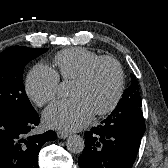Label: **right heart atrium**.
Masks as SVG:
<instances>
[{
  "label": "right heart atrium",
  "mask_w": 168,
  "mask_h": 168,
  "mask_svg": "<svg viewBox=\"0 0 168 168\" xmlns=\"http://www.w3.org/2000/svg\"><path fill=\"white\" fill-rule=\"evenodd\" d=\"M59 86L60 81L57 71L43 64L34 66L25 81L27 95L40 107L57 97Z\"/></svg>",
  "instance_id": "obj_1"
}]
</instances>
